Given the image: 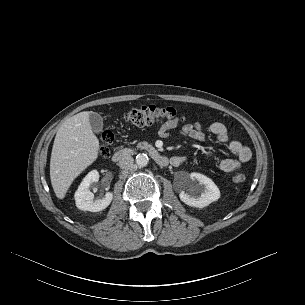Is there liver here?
Here are the masks:
<instances>
[{"label":"liver","mask_w":305,"mask_h":305,"mask_svg":"<svg viewBox=\"0 0 305 305\" xmlns=\"http://www.w3.org/2000/svg\"><path fill=\"white\" fill-rule=\"evenodd\" d=\"M90 112H80L58 129L50 159L53 190L63 199L74 181L98 157L99 140L89 122Z\"/></svg>","instance_id":"1"}]
</instances>
